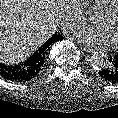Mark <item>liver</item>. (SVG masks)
Listing matches in <instances>:
<instances>
[{
	"instance_id": "liver-1",
	"label": "liver",
	"mask_w": 118,
	"mask_h": 118,
	"mask_svg": "<svg viewBox=\"0 0 118 118\" xmlns=\"http://www.w3.org/2000/svg\"><path fill=\"white\" fill-rule=\"evenodd\" d=\"M58 0H0V62L18 64L57 30Z\"/></svg>"
}]
</instances>
